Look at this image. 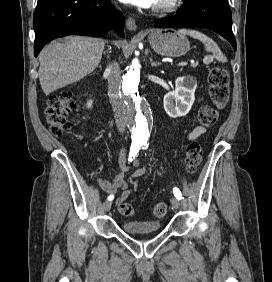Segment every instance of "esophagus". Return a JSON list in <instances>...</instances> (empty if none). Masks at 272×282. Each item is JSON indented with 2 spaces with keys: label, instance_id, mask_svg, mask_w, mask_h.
Here are the masks:
<instances>
[{
  "label": "esophagus",
  "instance_id": "esophagus-1",
  "mask_svg": "<svg viewBox=\"0 0 272 282\" xmlns=\"http://www.w3.org/2000/svg\"><path fill=\"white\" fill-rule=\"evenodd\" d=\"M126 27L130 31H135L137 29L136 22L132 17H128L126 20Z\"/></svg>",
  "mask_w": 272,
  "mask_h": 282
}]
</instances>
